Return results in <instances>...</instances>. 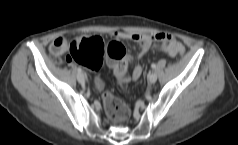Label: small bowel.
Returning a JSON list of instances; mask_svg holds the SVG:
<instances>
[{"instance_id": "small-bowel-1", "label": "small bowel", "mask_w": 238, "mask_h": 145, "mask_svg": "<svg viewBox=\"0 0 238 145\" xmlns=\"http://www.w3.org/2000/svg\"><path fill=\"white\" fill-rule=\"evenodd\" d=\"M113 35L118 39L132 40L139 43L140 50L138 53V58H141L146 53H148L154 45L156 46L158 42L172 43L183 52V46L181 45V43L177 41L172 35H169V34L148 35V34H138V33L116 31L114 32ZM68 50H69V41L64 37L56 38L50 45V52L55 56H60ZM164 52L168 53L167 51H164ZM127 56L131 63L132 57L130 55H127ZM68 61H72V60L68 57ZM142 72H143V69L140 65L135 66L132 69L131 78L133 80H137L141 76Z\"/></svg>"}]
</instances>
